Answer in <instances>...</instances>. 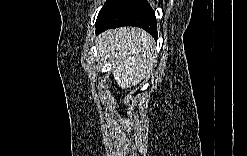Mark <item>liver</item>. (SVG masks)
<instances>
[{"label":"liver","mask_w":247,"mask_h":156,"mask_svg":"<svg viewBox=\"0 0 247 156\" xmlns=\"http://www.w3.org/2000/svg\"><path fill=\"white\" fill-rule=\"evenodd\" d=\"M98 54L106 56L122 89L138 84L155 65V41L136 27L110 29L96 40Z\"/></svg>","instance_id":"1"}]
</instances>
